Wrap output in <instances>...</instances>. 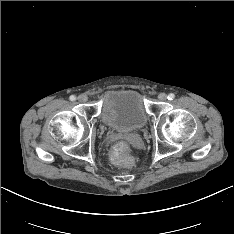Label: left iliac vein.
<instances>
[{
    "instance_id": "left-iliac-vein-1",
    "label": "left iliac vein",
    "mask_w": 234,
    "mask_h": 234,
    "mask_svg": "<svg viewBox=\"0 0 234 234\" xmlns=\"http://www.w3.org/2000/svg\"><path fill=\"white\" fill-rule=\"evenodd\" d=\"M158 99H159L160 101H165V100H167V95H166L165 93H160V94L158 95Z\"/></svg>"
}]
</instances>
